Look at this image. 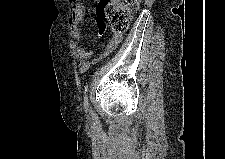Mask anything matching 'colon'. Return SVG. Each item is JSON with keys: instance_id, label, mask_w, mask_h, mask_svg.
I'll use <instances>...</instances> for the list:
<instances>
[{"instance_id": "1", "label": "colon", "mask_w": 225, "mask_h": 159, "mask_svg": "<svg viewBox=\"0 0 225 159\" xmlns=\"http://www.w3.org/2000/svg\"><path fill=\"white\" fill-rule=\"evenodd\" d=\"M139 2L140 0H101L98 8L100 26L109 27L114 37L121 38L128 29Z\"/></svg>"}]
</instances>
